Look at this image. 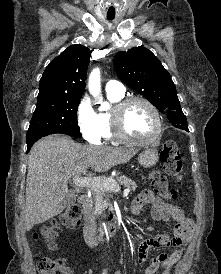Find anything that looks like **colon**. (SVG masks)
<instances>
[{"instance_id": "obj_1", "label": "colon", "mask_w": 221, "mask_h": 274, "mask_svg": "<svg viewBox=\"0 0 221 274\" xmlns=\"http://www.w3.org/2000/svg\"><path fill=\"white\" fill-rule=\"evenodd\" d=\"M161 160L163 162V170L165 175L155 173L151 176V186L154 191L160 194L167 200L175 199L178 195L176 189L170 188L167 177L181 180L183 176V164L181 159V152L174 141L165 142L162 152ZM81 210L77 205L68 207L57 219L45 226L42 234L50 249L55 247L53 238L56 236L57 228L63 226L66 228H75L80 224ZM37 238V234L34 235ZM39 274H71L67 266L66 260L51 259L46 256L40 257L38 261Z\"/></svg>"}]
</instances>
